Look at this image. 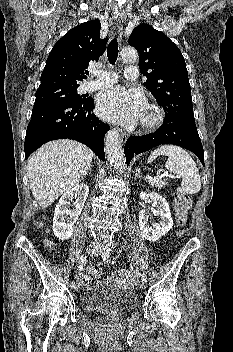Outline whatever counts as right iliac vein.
Masks as SVG:
<instances>
[{
  "instance_id": "obj_1",
  "label": "right iliac vein",
  "mask_w": 233,
  "mask_h": 352,
  "mask_svg": "<svg viewBox=\"0 0 233 352\" xmlns=\"http://www.w3.org/2000/svg\"><path fill=\"white\" fill-rule=\"evenodd\" d=\"M96 250H97V247L92 244H90L86 247V253H88V254H94L96 252ZM80 286H81L80 283L75 285V287H74L75 291H78L80 289Z\"/></svg>"
}]
</instances>
